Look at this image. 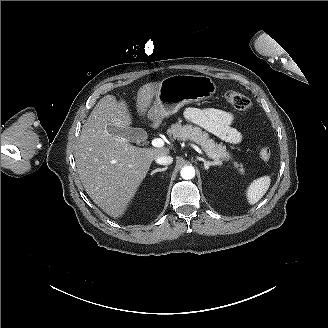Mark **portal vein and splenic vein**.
<instances>
[{
	"mask_svg": "<svg viewBox=\"0 0 328 328\" xmlns=\"http://www.w3.org/2000/svg\"><path fill=\"white\" fill-rule=\"evenodd\" d=\"M152 145L157 148H161L164 146V141L161 138H154L152 140ZM188 145H191V147H194L195 150H197L198 154H201V150L198 149V146H195L194 143L188 142Z\"/></svg>",
	"mask_w": 328,
	"mask_h": 328,
	"instance_id": "portal-vein-and-splenic-vein-1",
	"label": "portal vein and splenic vein"
}]
</instances>
